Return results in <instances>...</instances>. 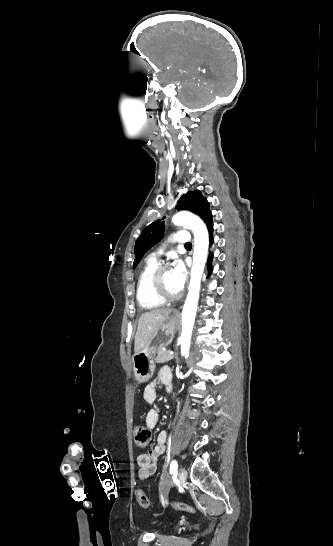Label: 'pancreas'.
<instances>
[{
    "label": "pancreas",
    "instance_id": "1",
    "mask_svg": "<svg viewBox=\"0 0 333 546\" xmlns=\"http://www.w3.org/2000/svg\"><path fill=\"white\" fill-rule=\"evenodd\" d=\"M171 359H173V355H170L169 351L160 350L157 353L155 361L157 363H166V362L170 361Z\"/></svg>",
    "mask_w": 333,
    "mask_h": 546
}]
</instances>
